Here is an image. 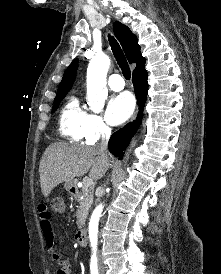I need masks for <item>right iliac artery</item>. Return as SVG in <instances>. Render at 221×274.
<instances>
[{"label":"right iliac artery","instance_id":"82829eb1","mask_svg":"<svg viewBox=\"0 0 221 274\" xmlns=\"http://www.w3.org/2000/svg\"><path fill=\"white\" fill-rule=\"evenodd\" d=\"M90 272H91V274H99L98 263H97V257L96 256L91 257Z\"/></svg>","mask_w":221,"mask_h":274}]
</instances>
